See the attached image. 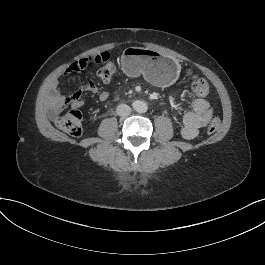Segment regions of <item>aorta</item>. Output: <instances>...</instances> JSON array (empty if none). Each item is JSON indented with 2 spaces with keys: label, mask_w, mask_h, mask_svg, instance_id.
<instances>
[{
  "label": "aorta",
  "mask_w": 265,
  "mask_h": 265,
  "mask_svg": "<svg viewBox=\"0 0 265 265\" xmlns=\"http://www.w3.org/2000/svg\"><path fill=\"white\" fill-rule=\"evenodd\" d=\"M133 108L135 111L138 113H145L148 110V106L145 102L143 101H136L133 103Z\"/></svg>",
  "instance_id": "obj_1"
}]
</instances>
